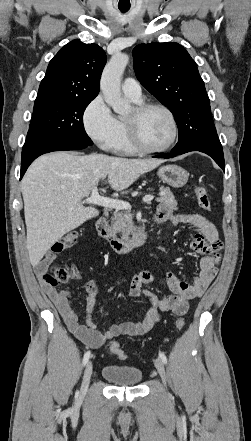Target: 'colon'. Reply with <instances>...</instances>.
Segmentation results:
<instances>
[{"label":"colon","instance_id":"colon-1","mask_svg":"<svg viewBox=\"0 0 251 441\" xmlns=\"http://www.w3.org/2000/svg\"><path fill=\"white\" fill-rule=\"evenodd\" d=\"M194 193L200 207L205 211H210L212 206L211 200L205 188L197 185L194 189ZM78 237L79 235L76 231L66 233L52 246V251L59 253L67 248H70L77 242ZM74 277L75 275L71 270L62 267H53L50 273L44 272L40 275V282L44 284L56 285L58 283H64L70 278ZM184 326L185 320L183 318H179L175 323L176 330L178 331L182 330ZM107 353L110 356H117L120 359L126 358V354L117 342H112L108 345Z\"/></svg>","mask_w":251,"mask_h":441}]
</instances>
